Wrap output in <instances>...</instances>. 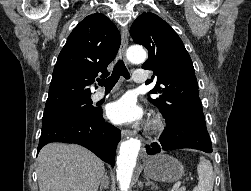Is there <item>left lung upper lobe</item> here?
Returning <instances> with one entry per match:
<instances>
[{"label":"left lung upper lobe","mask_w":251,"mask_h":191,"mask_svg":"<svg viewBox=\"0 0 251 191\" xmlns=\"http://www.w3.org/2000/svg\"><path fill=\"white\" fill-rule=\"evenodd\" d=\"M130 34L149 51L142 68L152 70L157 83L148 100L159 108L166 125L187 114L204 117L192 60L171 26L154 13H143L132 24Z\"/></svg>","instance_id":"5c2ea615"}]
</instances>
